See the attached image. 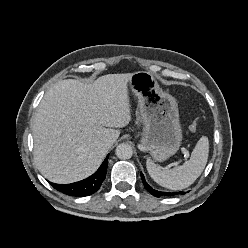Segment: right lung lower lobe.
I'll use <instances>...</instances> for the list:
<instances>
[{
  "label": "right lung lower lobe",
  "instance_id": "obj_1",
  "mask_svg": "<svg viewBox=\"0 0 248 248\" xmlns=\"http://www.w3.org/2000/svg\"><path fill=\"white\" fill-rule=\"evenodd\" d=\"M108 156L100 166V168L90 177L71 184H50L58 191L70 196H88L95 193L105 179L107 172Z\"/></svg>",
  "mask_w": 248,
  "mask_h": 248
}]
</instances>
